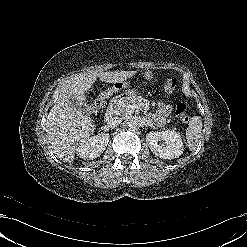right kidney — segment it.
Instances as JSON below:
<instances>
[{
  "label": "right kidney",
  "instance_id": "obj_1",
  "mask_svg": "<svg viewBox=\"0 0 247 247\" xmlns=\"http://www.w3.org/2000/svg\"><path fill=\"white\" fill-rule=\"evenodd\" d=\"M110 135L101 133L89 137L85 142L79 144L76 148L77 155L84 160H92L99 157L107 147Z\"/></svg>",
  "mask_w": 247,
  "mask_h": 247
}]
</instances>
